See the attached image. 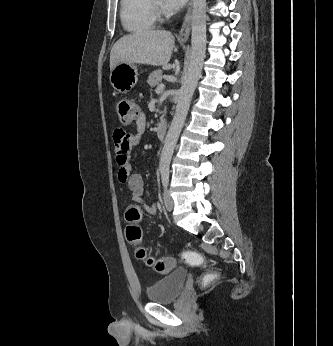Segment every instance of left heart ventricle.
I'll return each mask as SVG.
<instances>
[{"label":"left heart ventricle","instance_id":"b2bd125f","mask_svg":"<svg viewBox=\"0 0 333 346\" xmlns=\"http://www.w3.org/2000/svg\"><path fill=\"white\" fill-rule=\"evenodd\" d=\"M156 2H157V3H160V2H161V0H156Z\"/></svg>","mask_w":333,"mask_h":346}]
</instances>
